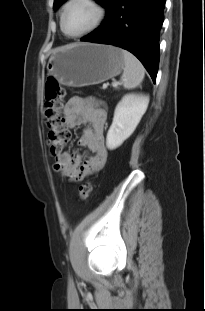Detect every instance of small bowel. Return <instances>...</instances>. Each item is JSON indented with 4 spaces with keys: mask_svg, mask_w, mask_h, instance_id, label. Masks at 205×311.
<instances>
[{
    "mask_svg": "<svg viewBox=\"0 0 205 311\" xmlns=\"http://www.w3.org/2000/svg\"><path fill=\"white\" fill-rule=\"evenodd\" d=\"M106 109L92 99L70 98L64 106V124L73 129L83 126L78 146L87 153L62 152L55 157L54 169L72 181H79L99 171L108 158L104 143Z\"/></svg>",
    "mask_w": 205,
    "mask_h": 311,
    "instance_id": "small-bowel-1",
    "label": "small bowel"
}]
</instances>
